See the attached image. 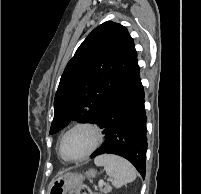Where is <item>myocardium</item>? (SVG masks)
<instances>
[{
  "mask_svg": "<svg viewBox=\"0 0 201 194\" xmlns=\"http://www.w3.org/2000/svg\"><path fill=\"white\" fill-rule=\"evenodd\" d=\"M78 129L89 130L93 135V143L91 147L83 155L76 158H68L62 153L63 140L69 133ZM102 141H103V130L98 123H95L93 121H87V120L79 121L71 125L62 133L58 142V153L61 156V158L67 162H80L90 157L99 148Z\"/></svg>",
  "mask_w": 201,
  "mask_h": 194,
  "instance_id": "1",
  "label": "myocardium"
}]
</instances>
